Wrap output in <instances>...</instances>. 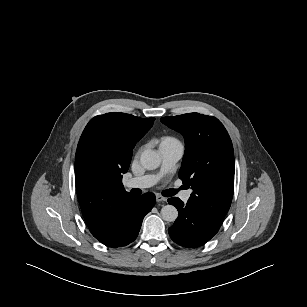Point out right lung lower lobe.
<instances>
[{
    "label": "right lung lower lobe",
    "instance_id": "right-lung-lower-lobe-1",
    "mask_svg": "<svg viewBox=\"0 0 307 307\" xmlns=\"http://www.w3.org/2000/svg\"><path fill=\"white\" fill-rule=\"evenodd\" d=\"M155 204V196L152 193H145L136 196L129 206L116 233L109 239L101 241L108 247H120L133 242L140 230L143 218L151 211Z\"/></svg>",
    "mask_w": 307,
    "mask_h": 307
}]
</instances>
